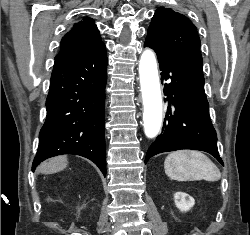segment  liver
<instances>
[{"mask_svg": "<svg viewBox=\"0 0 250 235\" xmlns=\"http://www.w3.org/2000/svg\"><path fill=\"white\" fill-rule=\"evenodd\" d=\"M68 165L66 156L52 158L38 167V172L43 174H53L64 170Z\"/></svg>", "mask_w": 250, "mask_h": 235, "instance_id": "6515ba94", "label": "liver"}]
</instances>
